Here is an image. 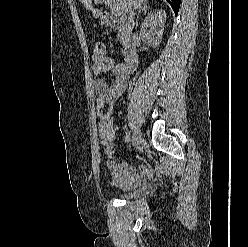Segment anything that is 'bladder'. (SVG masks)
Instances as JSON below:
<instances>
[{
    "label": "bladder",
    "mask_w": 248,
    "mask_h": 247,
    "mask_svg": "<svg viewBox=\"0 0 248 247\" xmlns=\"http://www.w3.org/2000/svg\"><path fill=\"white\" fill-rule=\"evenodd\" d=\"M151 190L150 184H140L136 188L128 191H122L119 193V197L125 200H130L134 198H138L148 194Z\"/></svg>",
    "instance_id": "bladder-1"
}]
</instances>
